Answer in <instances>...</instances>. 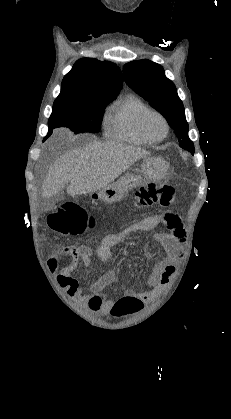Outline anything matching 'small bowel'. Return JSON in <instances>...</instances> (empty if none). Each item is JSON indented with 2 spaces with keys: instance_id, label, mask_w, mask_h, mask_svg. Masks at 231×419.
<instances>
[{
  "instance_id": "1",
  "label": "small bowel",
  "mask_w": 231,
  "mask_h": 419,
  "mask_svg": "<svg viewBox=\"0 0 231 419\" xmlns=\"http://www.w3.org/2000/svg\"><path fill=\"white\" fill-rule=\"evenodd\" d=\"M163 223L164 232L156 235V240L164 249V255L155 264L150 277L146 282L147 290L128 288L125 295L138 297L142 302L151 301L156 295L162 292L176 272V262L183 255V242L185 241V230L182 227L181 217L178 213H164L147 216L125 229L121 233L106 235L97 248V255L103 263H107L111 256V250L122 241L128 234L134 232L150 231ZM64 253L71 257V262L64 268L59 269V262L52 258L49 267L57 271L56 282L66 295L76 299L90 311L107 314L114 305V301L107 299L103 292L105 288L116 280L114 268H107L104 274L95 281L88 293H83L78 280L73 277L72 272L77 264L81 262L88 267L92 264V249L87 245L71 246L64 249Z\"/></svg>"
}]
</instances>
